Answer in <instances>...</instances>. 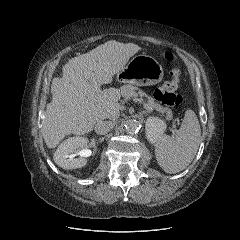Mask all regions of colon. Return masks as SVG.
I'll return each mask as SVG.
<instances>
[{
  "mask_svg": "<svg viewBox=\"0 0 240 240\" xmlns=\"http://www.w3.org/2000/svg\"><path fill=\"white\" fill-rule=\"evenodd\" d=\"M166 61L173 60V54H164ZM171 79L155 90V98L166 106H177L182 102V96L177 92L180 81V70L173 68L170 72Z\"/></svg>",
  "mask_w": 240,
  "mask_h": 240,
  "instance_id": "5ec220e1",
  "label": "colon"
}]
</instances>
